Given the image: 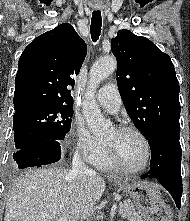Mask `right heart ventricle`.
<instances>
[{
	"label": "right heart ventricle",
	"instance_id": "obj_1",
	"mask_svg": "<svg viewBox=\"0 0 190 221\" xmlns=\"http://www.w3.org/2000/svg\"><path fill=\"white\" fill-rule=\"evenodd\" d=\"M90 162L93 166H95L100 170L116 169V167L112 164V162L108 158L103 144L100 152Z\"/></svg>",
	"mask_w": 190,
	"mask_h": 221
}]
</instances>
